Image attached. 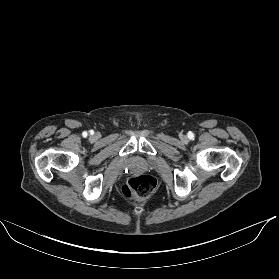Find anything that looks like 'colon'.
<instances>
[{
    "mask_svg": "<svg viewBox=\"0 0 279 279\" xmlns=\"http://www.w3.org/2000/svg\"><path fill=\"white\" fill-rule=\"evenodd\" d=\"M156 187V180L147 174L135 175L129 178L127 183L122 187L124 196L134 200H145L148 198Z\"/></svg>",
    "mask_w": 279,
    "mask_h": 279,
    "instance_id": "1",
    "label": "colon"
}]
</instances>
